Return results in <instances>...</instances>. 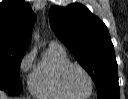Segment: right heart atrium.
<instances>
[{"instance_id": "1", "label": "right heart atrium", "mask_w": 128, "mask_h": 99, "mask_svg": "<svg viewBox=\"0 0 128 99\" xmlns=\"http://www.w3.org/2000/svg\"><path fill=\"white\" fill-rule=\"evenodd\" d=\"M35 57L34 51H29L21 60L20 73L26 74L30 71Z\"/></svg>"}]
</instances>
